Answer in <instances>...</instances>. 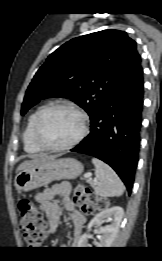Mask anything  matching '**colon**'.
<instances>
[{
  "label": "colon",
  "mask_w": 162,
  "mask_h": 261,
  "mask_svg": "<svg viewBox=\"0 0 162 261\" xmlns=\"http://www.w3.org/2000/svg\"><path fill=\"white\" fill-rule=\"evenodd\" d=\"M74 203L86 214H92L107 207L108 200L96 196L91 189L83 184L75 188ZM20 212L19 226L25 243L28 246H39L45 239L44 222L39 210L28 199L18 203Z\"/></svg>",
  "instance_id": "obj_1"
}]
</instances>
